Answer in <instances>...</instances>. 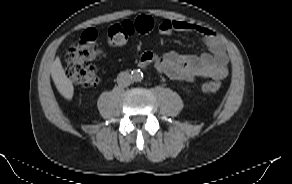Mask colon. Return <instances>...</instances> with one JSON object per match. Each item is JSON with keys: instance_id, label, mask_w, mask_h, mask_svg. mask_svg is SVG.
Instances as JSON below:
<instances>
[{"instance_id": "1", "label": "colon", "mask_w": 292, "mask_h": 184, "mask_svg": "<svg viewBox=\"0 0 292 184\" xmlns=\"http://www.w3.org/2000/svg\"><path fill=\"white\" fill-rule=\"evenodd\" d=\"M154 28L155 23L149 16L115 23L108 29V43L112 46H121L127 42L132 34L145 35L152 32ZM96 40V31L88 29L74 41L65 55L66 75L82 87H93L98 81L96 66L91 62L99 52ZM220 88L221 82L219 81H207L202 85L203 91L207 93L217 92Z\"/></svg>"}]
</instances>
